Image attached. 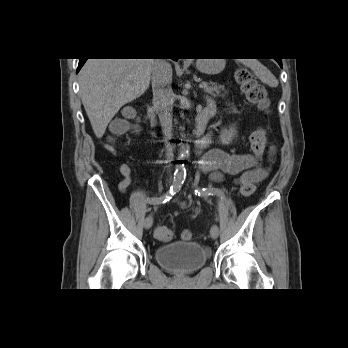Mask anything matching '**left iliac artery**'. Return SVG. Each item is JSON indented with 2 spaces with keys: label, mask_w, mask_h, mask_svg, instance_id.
<instances>
[{
  "label": "left iliac artery",
  "mask_w": 348,
  "mask_h": 348,
  "mask_svg": "<svg viewBox=\"0 0 348 348\" xmlns=\"http://www.w3.org/2000/svg\"><path fill=\"white\" fill-rule=\"evenodd\" d=\"M195 195H198L200 197H205L206 195H219V197L224 198L226 196V193L224 192V189H219L216 188L214 189H207V188H200V187H195L194 188Z\"/></svg>",
  "instance_id": "left-iliac-artery-1"
}]
</instances>
